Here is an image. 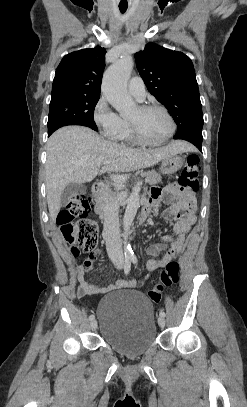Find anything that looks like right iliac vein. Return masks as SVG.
Returning a JSON list of instances; mask_svg holds the SVG:
<instances>
[{
  "mask_svg": "<svg viewBox=\"0 0 247 407\" xmlns=\"http://www.w3.org/2000/svg\"><path fill=\"white\" fill-rule=\"evenodd\" d=\"M90 327H91V329H92L93 331L96 330V328H97V322H96V320H92V321H91Z\"/></svg>",
  "mask_w": 247,
  "mask_h": 407,
  "instance_id": "1",
  "label": "right iliac vein"
}]
</instances>
